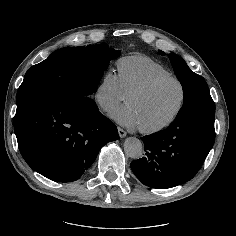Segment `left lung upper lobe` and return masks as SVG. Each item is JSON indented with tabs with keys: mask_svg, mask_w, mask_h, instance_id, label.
I'll list each match as a JSON object with an SVG mask.
<instances>
[{
	"mask_svg": "<svg viewBox=\"0 0 236 236\" xmlns=\"http://www.w3.org/2000/svg\"><path fill=\"white\" fill-rule=\"evenodd\" d=\"M159 53L164 55L160 50ZM168 57L184 92L183 106L176 119L187 115L215 116V104L204 78L194 73L177 54L170 53Z\"/></svg>",
	"mask_w": 236,
	"mask_h": 236,
	"instance_id": "5c2ea615",
	"label": "left lung upper lobe"
}]
</instances>
